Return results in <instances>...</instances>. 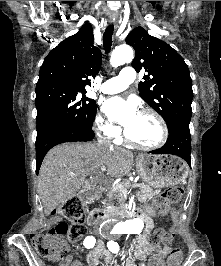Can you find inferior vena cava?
I'll return each mask as SVG.
<instances>
[{"label": "inferior vena cava", "instance_id": "inferior-vena-cava-1", "mask_svg": "<svg viewBox=\"0 0 221 266\" xmlns=\"http://www.w3.org/2000/svg\"><path fill=\"white\" fill-rule=\"evenodd\" d=\"M104 142V140L101 138L100 140H99V143H103Z\"/></svg>", "mask_w": 221, "mask_h": 266}]
</instances>
